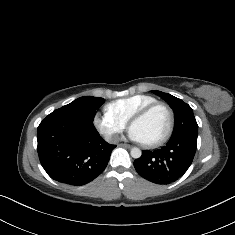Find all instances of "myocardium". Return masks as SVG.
Listing matches in <instances>:
<instances>
[{"instance_id": "myocardium-1", "label": "myocardium", "mask_w": 235, "mask_h": 235, "mask_svg": "<svg viewBox=\"0 0 235 235\" xmlns=\"http://www.w3.org/2000/svg\"><path fill=\"white\" fill-rule=\"evenodd\" d=\"M156 109H163L168 114L169 127L165 135L162 136L161 138L150 143H142V146L146 149H153L167 142L172 136L174 128H175V116H174L173 110L168 105H166L165 103H161V102L151 104L145 107L144 109H142L141 111H139L138 113H136L131 118L130 125L132 126L134 122L147 117L150 113H152Z\"/></svg>"}]
</instances>
